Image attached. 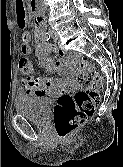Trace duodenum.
Masks as SVG:
<instances>
[{"label":"duodenum","instance_id":"duodenum-1","mask_svg":"<svg viewBox=\"0 0 123 167\" xmlns=\"http://www.w3.org/2000/svg\"><path fill=\"white\" fill-rule=\"evenodd\" d=\"M30 6L32 9V12L35 15L36 21L38 22V24L40 25V31H43L44 28V14L42 13L41 9H40V4L38 2V0H30Z\"/></svg>","mask_w":123,"mask_h":167}]
</instances>
